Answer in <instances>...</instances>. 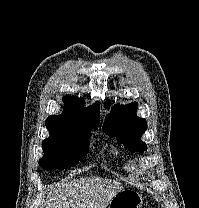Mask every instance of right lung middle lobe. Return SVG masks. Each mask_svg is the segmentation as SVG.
I'll use <instances>...</instances> for the list:
<instances>
[{
	"mask_svg": "<svg viewBox=\"0 0 199 208\" xmlns=\"http://www.w3.org/2000/svg\"><path fill=\"white\" fill-rule=\"evenodd\" d=\"M42 142L44 156L39 165L48 169H65L75 165L88 151L90 130L53 131Z\"/></svg>",
	"mask_w": 199,
	"mask_h": 208,
	"instance_id": "dd1d6c3e",
	"label": "right lung middle lobe"
}]
</instances>
